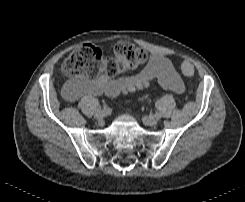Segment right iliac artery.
<instances>
[{"mask_svg": "<svg viewBox=\"0 0 245 202\" xmlns=\"http://www.w3.org/2000/svg\"><path fill=\"white\" fill-rule=\"evenodd\" d=\"M103 110L106 111L107 114L111 112V109L107 106L103 107Z\"/></svg>", "mask_w": 245, "mask_h": 202, "instance_id": "obj_1", "label": "right iliac artery"}]
</instances>
